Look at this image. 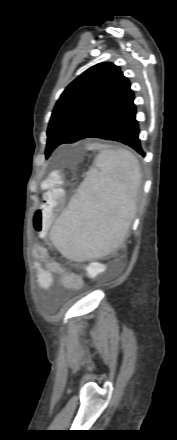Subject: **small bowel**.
<instances>
[{
  "label": "small bowel",
  "mask_w": 177,
  "mask_h": 440,
  "mask_svg": "<svg viewBox=\"0 0 177 440\" xmlns=\"http://www.w3.org/2000/svg\"><path fill=\"white\" fill-rule=\"evenodd\" d=\"M41 233V231H38ZM34 256L38 260L34 263V268L37 272V281L38 285L47 291L52 289V286L55 282V277L58 282L62 284L64 287L69 289H80L83 285L82 279L80 277L74 276L73 279H70V274L64 271L62 265L51 259L48 256L47 249L43 246H36L34 248ZM41 263L45 265V268L41 266Z\"/></svg>",
  "instance_id": "small-bowel-1"
}]
</instances>
